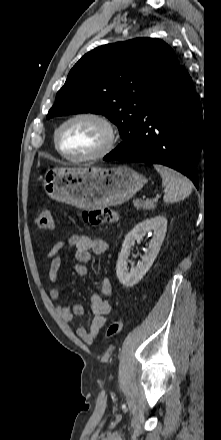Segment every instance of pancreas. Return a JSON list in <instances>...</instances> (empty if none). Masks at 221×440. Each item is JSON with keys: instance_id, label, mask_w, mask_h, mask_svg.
Masks as SVG:
<instances>
[{"instance_id": "pancreas-1", "label": "pancreas", "mask_w": 221, "mask_h": 440, "mask_svg": "<svg viewBox=\"0 0 221 440\" xmlns=\"http://www.w3.org/2000/svg\"><path fill=\"white\" fill-rule=\"evenodd\" d=\"M133 205L137 209L153 210L156 207V202L151 200H147V201L135 200L133 201Z\"/></svg>"}]
</instances>
